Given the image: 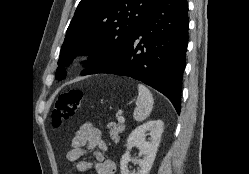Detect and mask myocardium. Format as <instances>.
Here are the masks:
<instances>
[{"label":"myocardium","instance_id":"f54148a6","mask_svg":"<svg viewBox=\"0 0 249 174\" xmlns=\"http://www.w3.org/2000/svg\"><path fill=\"white\" fill-rule=\"evenodd\" d=\"M98 51V48L95 45H88L83 48L82 55L83 57L89 58L94 56Z\"/></svg>","mask_w":249,"mask_h":174}]
</instances>
